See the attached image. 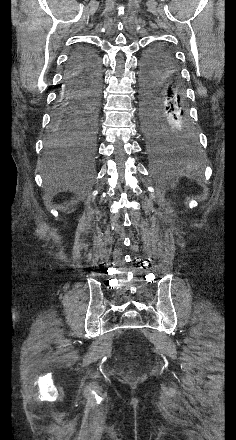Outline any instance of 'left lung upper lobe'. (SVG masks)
Here are the masks:
<instances>
[{
	"instance_id": "left-lung-upper-lobe-1",
	"label": "left lung upper lobe",
	"mask_w": 236,
	"mask_h": 440,
	"mask_svg": "<svg viewBox=\"0 0 236 440\" xmlns=\"http://www.w3.org/2000/svg\"><path fill=\"white\" fill-rule=\"evenodd\" d=\"M165 52H170L169 49L164 45H156L152 47L143 57L142 64L153 63L161 54Z\"/></svg>"
}]
</instances>
